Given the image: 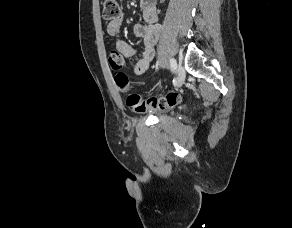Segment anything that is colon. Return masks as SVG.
<instances>
[{"label":"colon","mask_w":292,"mask_h":228,"mask_svg":"<svg viewBox=\"0 0 292 228\" xmlns=\"http://www.w3.org/2000/svg\"><path fill=\"white\" fill-rule=\"evenodd\" d=\"M121 16V9L118 0H104L103 3V17L109 21H115ZM109 64L112 69L118 70L122 67L123 59L115 51L109 54ZM115 82L121 92L128 91V80L124 74H118L115 77ZM181 100L177 93H169L164 97H150L144 99L139 94L133 93L128 95L126 99L127 106L134 112L144 113L146 111L155 109H166L174 107Z\"/></svg>","instance_id":"colon-1"}]
</instances>
